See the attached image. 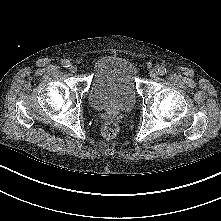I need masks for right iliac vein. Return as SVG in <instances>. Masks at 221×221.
Returning <instances> with one entry per match:
<instances>
[{
	"label": "right iliac vein",
	"mask_w": 221,
	"mask_h": 221,
	"mask_svg": "<svg viewBox=\"0 0 221 221\" xmlns=\"http://www.w3.org/2000/svg\"><path fill=\"white\" fill-rule=\"evenodd\" d=\"M77 69H78L77 66L74 65V64H71L70 67H69V70H70V72H72V73L77 72Z\"/></svg>",
	"instance_id": "obj_1"
}]
</instances>
